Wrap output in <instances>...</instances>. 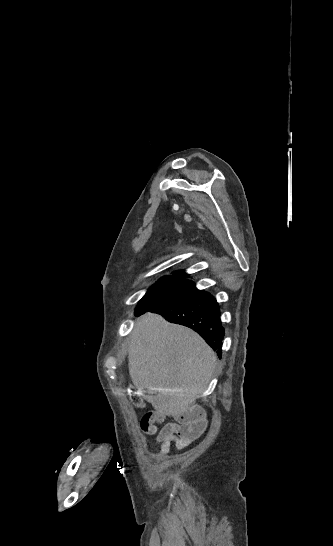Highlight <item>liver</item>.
Masks as SVG:
<instances>
[{
	"instance_id": "obj_1",
	"label": "liver",
	"mask_w": 333,
	"mask_h": 546,
	"mask_svg": "<svg viewBox=\"0 0 333 546\" xmlns=\"http://www.w3.org/2000/svg\"><path fill=\"white\" fill-rule=\"evenodd\" d=\"M216 355L194 331L147 313L136 321L129 345V374L158 414L193 411L215 368Z\"/></svg>"
}]
</instances>
